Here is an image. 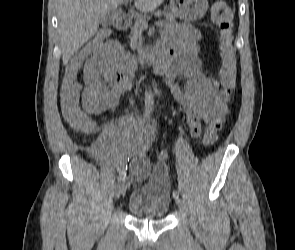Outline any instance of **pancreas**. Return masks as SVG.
Segmentation results:
<instances>
[{"instance_id":"cf45deb5","label":"pancreas","mask_w":295,"mask_h":250,"mask_svg":"<svg viewBox=\"0 0 295 250\" xmlns=\"http://www.w3.org/2000/svg\"><path fill=\"white\" fill-rule=\"evenodd\" d=\"M155 15L158 17H161V16L165 17L164 27L174 25L176 23L175 22L176 16L173 13H170L168 11H157ZM142 21L147 22L148 18L145 16H137L134 26L131 27V33L129 35V39H130L129 44H130V48L133 51L140 50L143 48L142 33L146 28L141 25ZM130 59L131 61H135L136 57L131 56Z\"/></svg>"}]
</instances>
